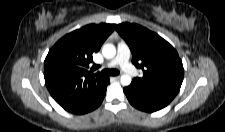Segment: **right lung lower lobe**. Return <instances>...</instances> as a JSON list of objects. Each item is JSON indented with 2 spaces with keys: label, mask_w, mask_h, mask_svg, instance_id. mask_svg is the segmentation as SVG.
Segmentation results:
<instances>
[{
  "label": "right lung lower lobe",
  "mask_w": 225,
  "mask_h": 132,
  "mask_svg": "<svg viewBox=\"0 0 225 132\" xmlns=\"http://www.w3.org/2000/svg\"><path fill=\"white\" fill-rule=\"evenodd\" d=\"M108 84H109V78H106V85H105L101 95L98 97V99L92 105H90L89 107L83 108V109H75L70 112L74 113V114H84V113H87V112H90V111L96 109L102 103V101L104 99V96L106 94V88H107Z\"/></svg>",
  "instance_id": "obj_1"
}]
</instances>
